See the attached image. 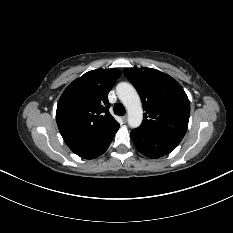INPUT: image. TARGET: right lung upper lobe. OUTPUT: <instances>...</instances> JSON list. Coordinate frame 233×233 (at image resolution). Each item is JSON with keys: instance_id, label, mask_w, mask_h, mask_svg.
<instances>
[{"instance_id": "cb5924a9", "label": "right lung upper lobe", "mask_w": 233, "mask_h": 233, "mask_svg": "<svg viewBox=\"0 0 233 233\" xmlns=\"http://www.w3.org/2000/svg\"><path fill=\"white\" fill-rule=\"evenodd\" d=\"M120 75L113 68L92 70L64 90L56 121L69 148L91 143L119 128L108 111V93Z\"/></svg>"}]
</instances>
